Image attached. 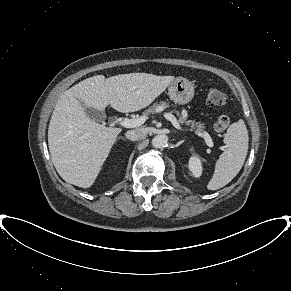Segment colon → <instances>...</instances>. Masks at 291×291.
<instances>
[{"instance_id": "colon-1", "label": "colon", "mask_w": 291, "mask_h": 291, "mask_svg": "<svg viewBox=\"0 0 291 291\" xmlns=\"http://www.w3.org/2000/svg\"><path fill=\"white\" fill-rule=\"evenodd\" d=\"M206 101L211 106H221L226 103L227 97L218 89L211 88L206 95ZM230 124L229 117L226 115H219L214 123V128L217 131H224Z\"/></svg>"}]
</instances>
